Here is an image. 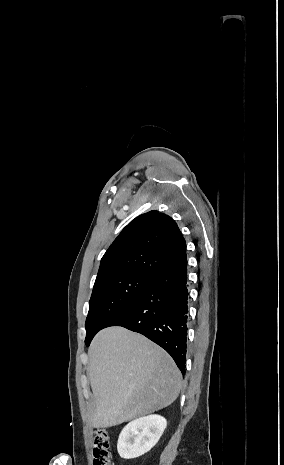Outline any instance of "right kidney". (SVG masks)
Returning <instances> with one entry per match:
<instances>
[{"label": "right kidney", "instance_id": "ca27d5eb", "mask_svg": "<svg viewBox=\"0 0 284 465\" xmlns=\"http://www.w3.org/2000/svg\"><path fill=\"white\" fill-rule=\"evenodd\" d=\"M167 427V421L160 415L140 417L128 423L122 429L117 445V451L122 459H136L148 453Z\"/></svg>", "mask_w": 284, "mask_h": 465}]
</instances>
